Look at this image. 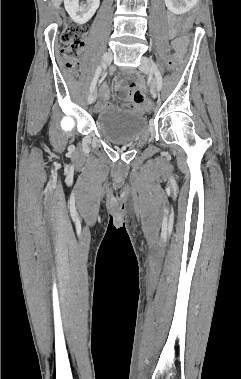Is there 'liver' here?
Segmentation results:
<instances>
[{
	"instance_id": "1",
	"label": "liver",
	"mask_w": 241,
	"mask_h": 379,
	"mask_svg": "<svg viewBox=\"0 0 241 379\" xmlns=\"http://www.w3.org/2000/svg\"><path fill=\"white\" fill-rule=\"evenodd\" d=\"M53 4L56 6V7H59V5L61 4L62 0H52Z\"/></svg>"
}]
</instances>
